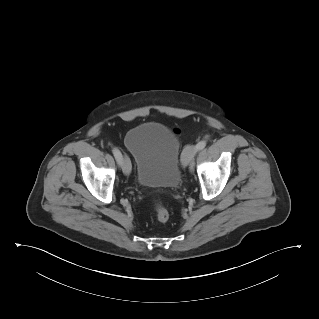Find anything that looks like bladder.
I'll list each match as a JSON object with an SVG mask.
<instances>
[{
	"mask_svg": "<svg viewBox=\"0 0 319 319\" xmlns=\"http://www.w3.org/2000/svg\"><path fill=\"white\" fill-rule=\"evenodd\" d=\"M124 144L134 157L139 185L152 188L179 185L182 148L169 127L158 122L139 124L127 131Z\"/></svg>",
	"mask_w": 319,
	"mask_h": 319,
	"instance_id": "bladder-1",
	"label": "bladder"
}]
</instances>
